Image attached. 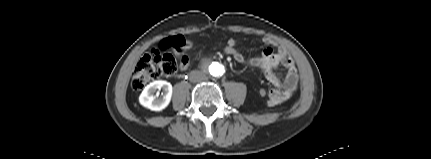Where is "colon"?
<instances>
[{
	"label": "colon",
	"mask_w": 431,
	"mask_h": 159,
	"mask_svg": "<svg viewBox=\"0 0 431 159\" xmlns=\"http://www.w3.org/2000/svg\"><path fill=\"white\" fill-rule=\"evenodd\" d=\"M188 47L189 42L183 36H172L165 39L160 49L152 50L138 61L132 74L131 87L135 91H140L151 81L174 75L177 71V61L169 50L182 53ZM221 52L228 55H239L242 51L239 48L230 47L229 52L223 50ZM260 96L266 97L267 91L261 90Z\"/></svg>",
	"instance_id": "5ec220e1"
}]
</instances>
